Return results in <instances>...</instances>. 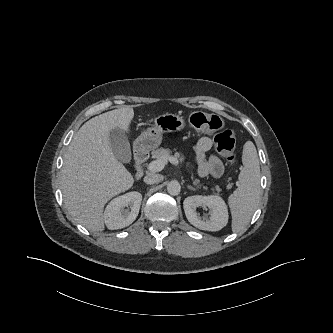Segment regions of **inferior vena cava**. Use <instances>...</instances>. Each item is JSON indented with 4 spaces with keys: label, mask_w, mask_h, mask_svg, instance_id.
I'll use <instances>...</instances> for the list:
<instances>
[{
    "label": "inferior vena cava",
    "mask_w": 333,
    "mask_h": 333,
    "mask_svg": "<svg viewBox=\"0 0 333 333\" xmlns=\"http://www.w3.org/2000/svg\"><path fill=\"white\" fill-rule=\"evenodd\" d=\"M163 180V176L160 174L149 173L144 177V182L146 184H155Z\"/></svg>",
    "instance_id": "inferior-vena-cava-1"
}]
</instances>
